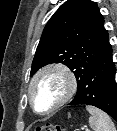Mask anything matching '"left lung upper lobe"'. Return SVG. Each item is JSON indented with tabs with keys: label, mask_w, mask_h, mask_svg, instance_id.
Wrapping results in <instances>:
<instances>
[{
	"label": "left lung upper lobe",
	"mask_w": 117,
	"mask_h": 131,
	"mask_svg": "<svg viewBox=\"0 0 117 131\" xmlns=\"http://www.w3.org/2000/svg\"><path fill=\"white\" fill-rule=\"evenodd\" d=\"M104 18L91 0H67L46 24L32 62L31 76L41 67L63 63L82 84L92 66L110 47Z\"/></svg>",
	"instance_id": "1"
}]
</instances>
